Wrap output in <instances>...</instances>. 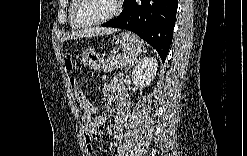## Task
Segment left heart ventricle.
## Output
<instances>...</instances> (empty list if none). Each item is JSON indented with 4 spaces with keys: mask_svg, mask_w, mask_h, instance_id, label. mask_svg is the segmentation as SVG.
<instances>
[{
    "mask_svg": "<svg viewBox=\"0 0 247 156\" xmlns=\"http://www.w3.org/2000/svg\"><path fill=\"white\" fill-rule=\"evenodd\" d=\"M113 7L112 0L84 1L79 16L83 21H94L108 15Z\"/></svg>",
    "mask_w": 247,
    "mask_h": 156,
    "instance_id": "1",
    "label": "left heart ventricle"
}]
</instances>
